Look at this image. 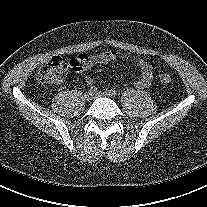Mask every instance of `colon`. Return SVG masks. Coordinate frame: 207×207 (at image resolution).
I'll return each instance as SVG.
<instances>
[{
    "label": "colon",
    "mask_w": 207,
    "mask_h": 207,
    "mask_svg": "<svg viewBox=\"0 0 207 207\" xmlns=\"http://www.w3.org/2000/svg\"><path fill=\"white\" fill-rule=\"evenodd\" d=\"M69 66L70 63L63 58L54 56L37 72L36 78L42 84L57 83ZM158 77L163 84H169L172 81V76L168 72L161 71Z\"/></svg>",
    "instance_id": "colon-1"
}]
</instances>
